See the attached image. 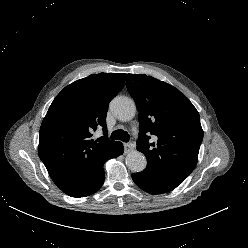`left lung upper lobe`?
<instances>
[{
  "mask_svg": "<svg viewBox=\"0 0 248 248\" xmlns=\"http://www.w3.org/2000/svg\"><path fill=\"white\" fill-rule=\"evenodd\" d=\"M126 86L139 112L137 150L147 158L144 171L176 188L197 164L203 140L199 113L183 93L156 78L128 74Z\"/></svg>",
  "mask_w": 248,
  "mask_h": 248,
  "instance_id": "1",
  "label": "left lung upper lobe"
}]
</instances>
